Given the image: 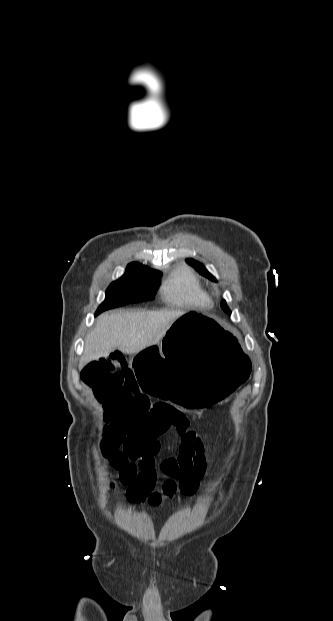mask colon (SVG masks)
<instances>
[{
    "instance_id": "1",
    "label": "colon",
    "mask_w": 333,
    "mask_h": 621,
    "mask_svg": "<svg viewBox=\"0 0 333 621\" xmlns=\"http://www.w3.org/2000/svg\"><path fill=\"white\" fill-rule=\"evenodd\" d=\"M133 474H134V468H132V467H129V469L126 470V472H125V475H126L127 478L132 477Z\"/></svg>"
}]
</instances>
